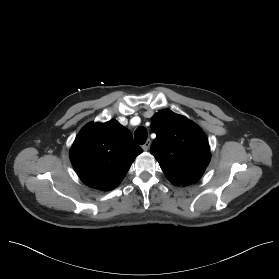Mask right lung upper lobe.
I'll return each mask as SVG.
<instances>
[{
  "mask_svg": "<svg viewBox=\"0 0 279 279\" xmlns=\"http://www.w3.org/2000/svg\"><path fill=\"white\" fill-rule=\"evenodd\" d=\"M142 149L116 120L89 124L77 135L70 159L79 178L99 190L119 185Z\"/></svg>",
  "mask_w": 279,
  "mask_h": 279,
  "instance_id": "cb5924a9",
  "label": "right lung upper lobe"
}]
</instances>
